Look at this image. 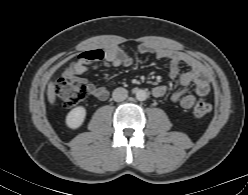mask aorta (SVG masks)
Returning a JSON list of instances; mask_svg holds the SVG:
<instances>
[{
	"mask_svg": "<svg viewBox=\"0 0 248 195\" xmlns=\"http://www.w3.org/2000/svg\"><path fill=\"white\" fill-rule=\"evenodd\" d=\"M136 99L139 101H144L147 99V92L145 90H137L136 91Z\"/></svg>",
	"mask_w": 248,
	"mask_h": 195,
	"instance_id": "762f6f07",
	"label": "aorta"
}]
</instances>
